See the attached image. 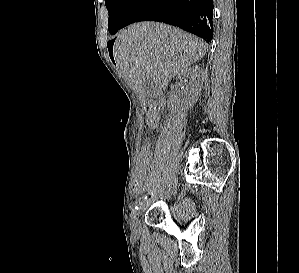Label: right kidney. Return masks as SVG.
Masks as SVG:
<instances>
[{
  "label": "right kidney",
  "instance_id": "ca27d5eb",
  "mask_svg": "<svg viewBox=\"0 0 299 273\" xmlns=\"http://www.w3.org/2000/svg\"><path fill=\"white\" fill-rule=\"evenodd\" d=\"M202 71L203 70L198 66L190 67L181 71L177 78L178 81L185 83L184 99L182 102L177 99H174L171 102V104L179 105L181 103L187 107H192L194 105V103L197 101L198 96L201 93L202 83L200 82V80H198L188 84L187 79H189L190 77L193 80L199 78L202 75Z\"/></svg>",
  "mask_w": 299,
  "mask_h": 273
}]
</instances>
